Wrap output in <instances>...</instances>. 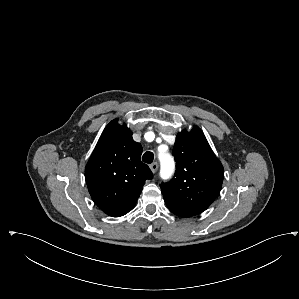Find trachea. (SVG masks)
Segmentation results:
<instances>
[{
	"instance_id": "3493384b",
	"label": "trachea",
	"mask_w": 299,
	"mask_h": 299,
	"mask_svg": "<svg viewBox=\"0 0 299 299\" xmlns=\"http://www.w3.org/2000/svg\"><path fill=\"white\" fill-rule=\"evenodd\" d=\"M154 159V154L152 152H146L144 153V155L142 156V160L143 162L150 164L153 162Z\"/></svg>"
}]
</instances>
